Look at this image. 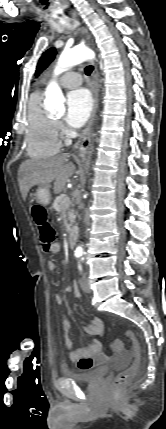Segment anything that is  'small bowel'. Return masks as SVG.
I'll list each match as a JSON object with an SVG mask.
<instances>
[{
  "instance_id": "c3829d8e",
  "label": "small bowel",
  "mask_w": 166,
  "mask_h": 429,
  "mask_svg": "<svg viewBox=\"0 0 166 429\" xmlns=\"http://www.w3.org/2000/svg\"><path fill=\"white\" fill-rule=\"evenodd\" d=\"M60 249V244L56 242L47 251L52 254H57L60 252ZM47 266L50 271L56 269V263L52 260L47 263ZM73 290L77 297L81 296L76 284L73 285ZM56 302L58 304L62 303L60 296H56ZM62 329L65 345L69 350V358L79 369L88 370L106 361L107 356L102 351V342L99 338L94 339L86 346L75 347L70 338L71 324L67 319L63 320ZM83 331L88 335L100 337L103 334V324L100 319L95 318L83 326Z\"/></svg>"
}]
</instances>
